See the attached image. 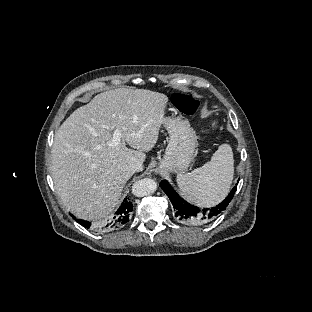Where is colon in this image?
Wrapping results in <instances>:
<instances>
[{"mask_svg": "<svg viewBox=\"0 0 312 312\" xmlns=\"http://www.w3.org/2000/svg\"><path fill=\"white\" fill-rule=\"evenodd\" d=\"M172 104L180 113L194 115L199 109V103L192 96L175 93L172 96Z\"/></svg>", "mask_w": 312, "mask_h": 312, "instance_id": "5ec220e1", "label": "colon"}]
</instances>
